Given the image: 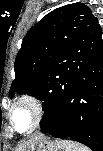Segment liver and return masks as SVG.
I'll return each mask as SVG.
<instances>
[{
	"label": "liver",
	"mask_w": 103,
	"mask_h": 151,
	"mask_svg": "<svg viewBox=\"0 0 103 151\" xmlns=\"http://www.w3.org/2000/svg\"><path fill=\"white\" fill-rule=\"evenodd\" d=\"M28 143H29V142H28ZM28 143H26L24 146H22V147L18 148V150H17V151L24 150V148H26V147L28 146Z\"/></svg>",
	"instance_id": "1"
}]
</instances>
